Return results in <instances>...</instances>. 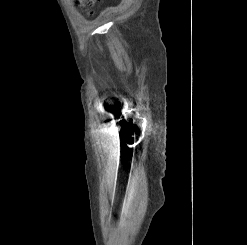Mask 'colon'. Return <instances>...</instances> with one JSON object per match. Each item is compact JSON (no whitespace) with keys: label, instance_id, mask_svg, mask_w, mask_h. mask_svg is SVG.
I'll use <instances>...</instances> for the list:
<instances>
[{"label":"colon","instance_id":"5ec220e1","mask_svg":"<svg viewBox=\"0 0 247 245\" xmlns=\"http://www.w3.org/2000/svg\"><path fill=\"white\" fill-rule=\"evenodd\" d=\"M96 2V0H77V3L82 6H91Z\"/></svg>","mask_w":247,"mask_h":245}]
</instances>
